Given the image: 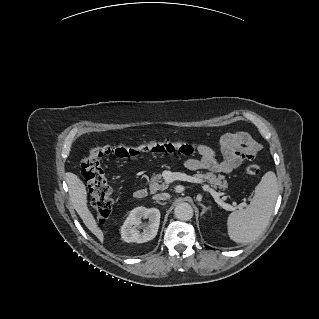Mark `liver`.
<instances>
[{
	"instance_id": "6515ba94",
	"label": "liver",
	"mask_w": 319,
	"mask_h": 319,
	"mask_svg": "<svg viewBox=\"0 0 319 319\" xmlns=\"http://www.w3.org/2000/svg\"><path fill=\"white\" fill-rule=\"evenodd\" d=\"M69 194L74 209L82 219L85 226L101 241L104 240L103 231L88 208L87 191L84 183L73 173L67 174Z\"/></svg>"
}]
</instances>
